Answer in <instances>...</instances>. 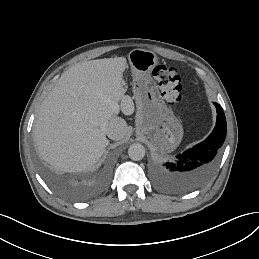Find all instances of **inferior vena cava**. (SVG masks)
I'll return each instance as SVG.
<instances>
[{
	"mask_svg": "<svg viewBox=\"0 0 259 259\" xmlns=\"http://www.w3.org/2000/svg\"><path fill=\"white\" fill-rule=\"evenodd\" d=\"M104 131L110 139L121 140L127 135V124L122 118H118L110 121Z\"/></svg>",
	"mask_w": 259,
	"mask_h": 259,
	"instance_id": "inferior-vena-cava-1",
	"label": "inferior vena cava"
}]
</instances>
